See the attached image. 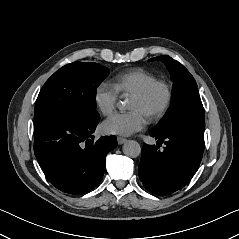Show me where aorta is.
Listing matches in <instances>:
<instances>
[{"instance_id": "aorta-1", "label": "aorta", "mask_w": 239, "mask_h": 239, "mask_svg": "<svg viewBox=\"0 0 239 239\" xmlns=\"http://www.w3.org/2000/svg\"><path fill=\"white\" fill-rule=\"evenodd\" d=\"M123 153L131 158H136L141 153V146L135 140H128L122 147Z\"/></svg>"}]
</instances>
